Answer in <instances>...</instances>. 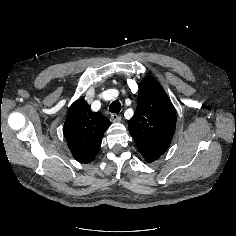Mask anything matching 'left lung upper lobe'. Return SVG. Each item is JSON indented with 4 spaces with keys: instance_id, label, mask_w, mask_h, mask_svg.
<instances>
[{
    "instance_id": "obj_1",
    "label": "left lung upper lobe",
    "mask_w": 236,
    "mask_h": 236,
    "mask_svg": "<svg viewBox=\"0 0 236 236\" xmlns=\"http://www.w3.org/2000/svg\"><path fill=\"white\" fill-rule=\"evenodd\" d=\"M175 128V108L164 89L153 77L144 78L136 111L129 121V132L147 162H153L165 153Z\"/></svg>"
}]
</instances>
